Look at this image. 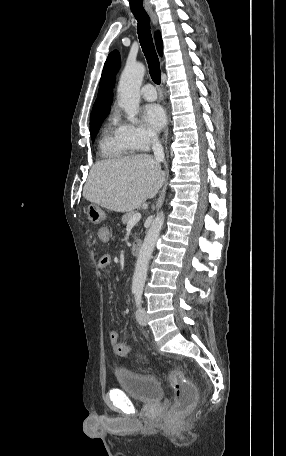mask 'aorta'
<instances>
[{
    "label": "aorta",
    "mask_w": 286,
    "mask_h": 456,
    "mask_svg": "<svg viewBox=\"0 0 286 456\" xmlns=\"http://www.w3.org/2000/svg\"><path fill=\"white\" fill-rule=\"evenodd\" d=\"M144 74V65L142 63H134L127 65L120 77L117 89L118 103L124 109L128 120L131 122H136V115L139 112V91ZM163 224L164 213L161 212L153 220L140 249L132 278L133 291H142L144 288L149 261Z\"/></svg>",
    "instance_id": "aorta-1"
}]
</instances>
